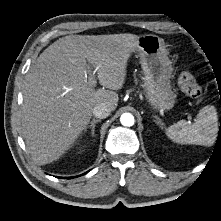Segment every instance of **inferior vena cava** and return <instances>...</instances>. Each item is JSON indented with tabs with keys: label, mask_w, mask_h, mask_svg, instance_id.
<instances>
[{
	"label": "inferior vena cava",
	"mask_w": 221,
	"mask_h": 221,
	"mask_svg": "<svg viewBox=\"0 0 221 221\" xmlns=\"http://www.w3.org/2000/svg\"><path fill=\"white\" fill-rule=\"evenodd\" d=\"M92 112L96 118L100 119H104L110 115V109L104 103L96 105Z\"/></svg>",
	"instance_id": "1"
}]
</instances>
